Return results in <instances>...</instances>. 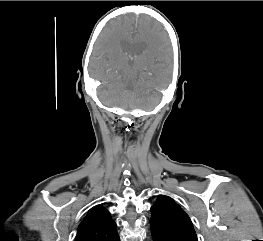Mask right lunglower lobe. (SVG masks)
<instances>
[{"label":"right lung lower lobe","instance_id":"obj_1","mask_svg":"<svg viewBox=\"0 0 263 241\" xmlns=\"http://www.w3.org/2000/svg\"><path fill=\"white\" fill-rule=\"evenodd\" d=\"M115 241H120L119 237H117V239H115Z\"/></svg>","mask_w":263,"mask_h":241}]
</instances>
